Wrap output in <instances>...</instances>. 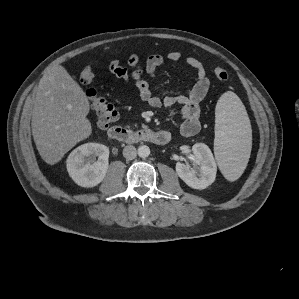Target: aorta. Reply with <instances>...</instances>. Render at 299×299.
<instances>
[{"instance_id": "aorta-1", "label": "aorta", "mask_w": 299, "mask_h": 299, "mask_svg": "<svg viewBox=\"0 0 299 299\" xmlns=\"http://www.w3.org/2000/svg\"><path fill=\"white\" fill-rule=\"evenodd\" d=\"M137 154L140 158H147L150 155V148L147 145L138 147Z\"/></svg>"}]
</instances>
